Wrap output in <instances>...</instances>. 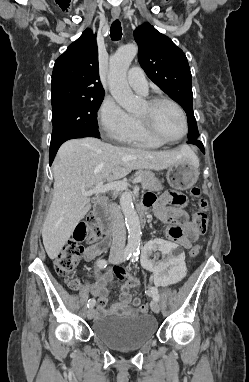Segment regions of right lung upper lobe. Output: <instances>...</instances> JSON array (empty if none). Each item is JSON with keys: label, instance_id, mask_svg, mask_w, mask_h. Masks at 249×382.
Returning a JSON list of instances; mask_svg holds the SVG:
<instances>
[{"label": "right lung upper lobe", "instance_id": "cb5924a9", "mask_svg": "<svg viewBox=\"0 0 249 382\" xmlns=\"http://www.w3.org/2000/svg\"><path fill=\"white\" fill-rule=\"evenodd\" d=\"M104 96L100 82L96 36L90 29L56 60L52 73V105Z\"/></svg>", "mask_w": 249, "mask_h": 382}]
</instances>
